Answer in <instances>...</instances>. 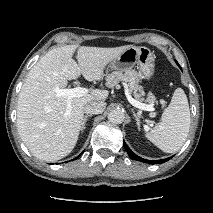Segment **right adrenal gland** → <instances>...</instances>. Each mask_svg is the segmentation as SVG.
Returning a JSON list of instances; mask_svg holds the SVG:
<instances>
[{"label":"right adrenal gland","mask_w":213,"mask_h":213,"mask_svg":"<svg viewBox=\"0 0 213 213\" xmlns=\"http://www.w3.org/2000/svg\"><path fill=\"white\" fill-rule=\"evenodd\" d=\"M89 117H91V115H85L84 116L82 126H81V131H83L85 129V125H86V122H87Z\"/></svg>","instance_id":"1"}]
</instances>
